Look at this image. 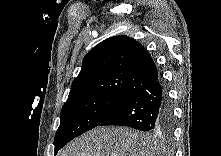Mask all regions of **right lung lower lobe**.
Masks as SVG:
<instances>
[{"label":"right lung lower lobe","mask_w":221,"mask_h":156,"mask_svg":"<svg viewBox=\"0 0 221 156\" xmlns=\"http://www.w3.org/2000/svg\"><path fill=\"white\" fill-rule=\"evenodd\" d=\"M106 125L128 126L142 131H171L173 113L165 86L157 79L141 89L100 123V126Z\"/></svg>","instance_id":"right-lung-lower-lobe-1"}]
</instances>
